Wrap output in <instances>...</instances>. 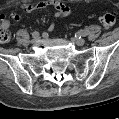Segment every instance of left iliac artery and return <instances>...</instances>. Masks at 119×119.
I'll return each instance as SVG.
<instances>
[{
	"instance_id": "1",
	"label": "left iliac artery",
	"mask_w": 119,
	"mask_h": 119,
	"mask_svg": "<svg viewBox=\"0 0 119 119\" xmlns=\"http://www.w3.org/2000/svg\"><path fill=\"white\" fill-rule=\"evenodd\" d=\"M87 35H88V30H80V31L77 32V36H79V38L81 36L85 37Z\"/></svg>"
}]
</instances>
